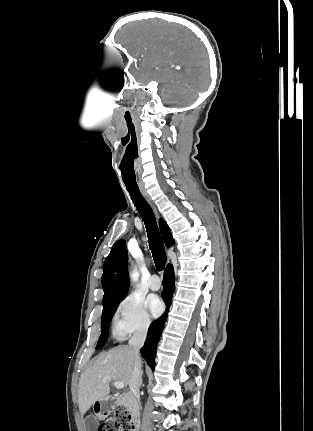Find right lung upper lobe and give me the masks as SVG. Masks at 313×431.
<instances>
[{
  "label": "right lung upper lobe",
  "mask_w": 313,
  "mask_h": 431,
  "mask_svg": "<svg viewBox=\"0 0 313 431\" xmlns=\"http://www.w3.org/2000/svg\"><path fill=\"white\" fill-rule=\"evenodd\" d=\"M162 238L167 247L174 244L170 228L162 219L159 222ZM127 248L125 240L117 241L110 254L105 260L102 285L104 290L103 304L110 303L117 299L125 298L128 288L129 279L127 271Z\"/></svg>",
  "instance_id": "cb5924a9"
}]
</instances>
